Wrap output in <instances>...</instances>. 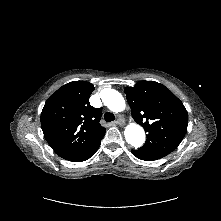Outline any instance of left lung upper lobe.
Returning <instances> with one entry per match:
<instances>
[{
    "label": "left lung upper lobe",
    "instance_id": "1",
    "mask_svg": "<svg viewBox=\"0 0 221 221\" xmlns=\"http://www.w3.org/2000/svg\"><path fill=\"white\" fill-rule=\"evenodd\" d=\"M124 92L133 118L148 133L145 144L137 151L154 159L174 151L187 131L188 113L183 103L155 81H140Z\"/></svg>",
    "mask_w": 221,
    "mask_h": 221
}]
</instances>
